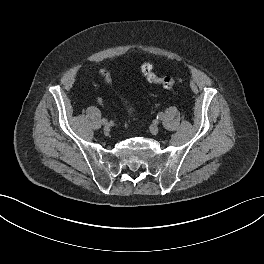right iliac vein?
<instances>
[{
	"label": "right iliac vein",
	"instance_id": "63e3f726",
	"mask_svg": "<svg viewBox=\"0 0 264 264\" xmlns=\"http://www.w3.org/2000/svg\"><path fill=\"white\" fill-rule=\"evenodd\" d=\"M110 132V126L108 124H105L104 126V133L107 135Z\"/></svg>",
	"mask_w": 264,
	"mask_h": 264
}]
</instances>
